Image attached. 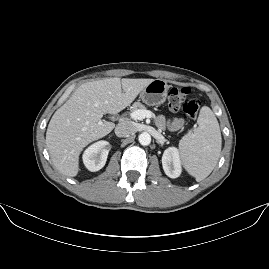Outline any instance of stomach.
<instances>
[{"instance_id":"0dacf381","label":"stomach","mask_w":269,"mask_h":269,"mask_svg":"<svg viewBox=\"0 0 269 269\" xmlns=\"http://www.w3.org/2000/svg\"><path fill=\"white\" fill-rule=\"evenodd\" d=\"M167 89L166 81L155 79L140 91L139 97L147 105L160 104L165 101Z\"/></svg>"}]
</instances>
